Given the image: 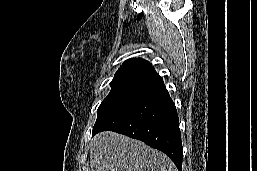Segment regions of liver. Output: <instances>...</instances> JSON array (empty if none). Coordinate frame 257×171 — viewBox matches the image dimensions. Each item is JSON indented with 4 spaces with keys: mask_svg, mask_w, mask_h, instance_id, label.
I'll return each instance as SVG.
<instances>
[{
    "mask_svg": "<svg viewBox=\"0 0 257 171\" xmlns=\"http://www.w3.org/2000/svg\"><path fill=\"white\" fill-rule=\"evenodd\" d=\"M92 171H177L162 152L127 136L102 132L90 149Z\"/></svg>",
    "mask_w": 257,
    "mask_h": 171,
    "instance_id": "1",
    "label": "liver"
}]
</instances>
